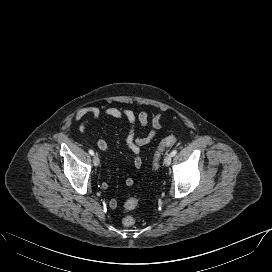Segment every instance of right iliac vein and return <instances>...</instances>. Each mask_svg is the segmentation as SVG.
Returning <instances> with one entry per match:
<instances>
[{
	"instance_id": "right-iliac-vein-1",
	"label": "right iliac vein",
	"mask_w": 272,
	"mask_h": 272,
	"mask_svg": "<svg viewBox=\"0 0 272 272\" xmlns=\"http://www.w3.org/2000/svg\"><path fill=\"white\" fill-rule=\"evenodd\" d=\"M93 164L96 167L99 166V164H100V159L97 155H94V157H93Z\"/></svg>"
}]
</instances>
